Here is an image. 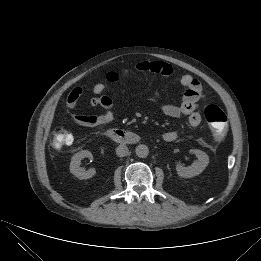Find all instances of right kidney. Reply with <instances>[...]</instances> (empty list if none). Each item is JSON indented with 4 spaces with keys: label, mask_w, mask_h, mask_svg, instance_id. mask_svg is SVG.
Segmentation results:
<instances>
[{
    "label": "right kidney",
    "mask_w": 261,
    "mask_h": 261,
    "mask_svg": "<svg viewBox=\"0 0 261 261\" xmlns=\"http://www.w3.org/2000/svg\"><path fill=\"white\" fill-rule=\"evenodd\" d=\"M83 158H92V153L88 150H82L75 153L70 162V172L79 179H89L96 174L95 169H89L85 171L80 167V162Z\"/></svg>",
    "instance_id": "ca27d5eb"
}]
</instances>
